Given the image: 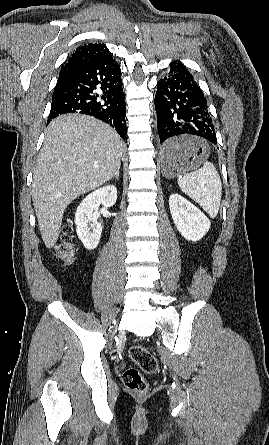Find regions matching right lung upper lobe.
Wrapping results in <instances>:
<instances>
[{"mask_svg":"<svg viewBox=\"0 0 269 445\" xmlns=\"http://www.w3.org/2000/svg\"><path fill=\"white\" fill-rule=\"evenodd\" d=\"M109 56L111 55L104 44L89 43L78 47L68 62L61 68L57 84L69 78L80 68L103 60Z\"/></svg>","mask_w":269,"mask_h":445,"instance_id":"obj_1","label":"right lung upper lobe"}]
</instances>
